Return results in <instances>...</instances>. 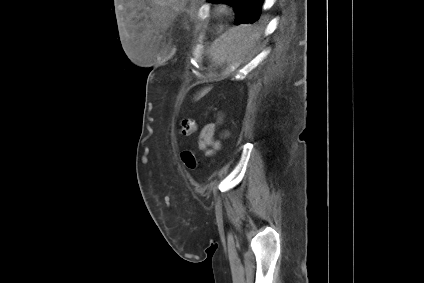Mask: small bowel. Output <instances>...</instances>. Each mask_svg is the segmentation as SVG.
<instances>
[{
	"mask_svg": "<svg viewBox=\"0 0 424 283\" xmlns=\"http://www.w3.org/2000/svg\"><path fill=\"white\" fill-rule=\"evenodd\" d=\"M218 123L222 119L221 113L217 115ZM217 123H209L203 127L199 137V148L204 150L207 155H212L220 148V143L214 138Z\"/></svg>",
	"mask_w": 424,
	"mask_h": 283,
	"instance_id": "c3829d8e",
	"label": "small bowel"
}]
</instances>
